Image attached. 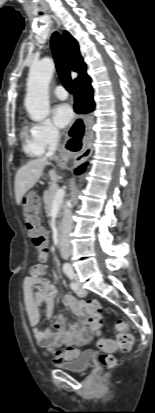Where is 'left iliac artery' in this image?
<instances>
[{
    "label": "left iliac artery",
    "mask_w": 155,
    "mask_h": 413,
    "mask_svg": "<svg viewBox=\"0 0 155 413\" xmlns=\"http://www.w3.org/2000/svg\"><path fill=\"white\" fill-rule=\"evenodd\" d=\"M66 275L69 277V279L71 280L70 282V287L72 290H76L77 289V283L75 282V274L72 270H69L66 272Z\"/></svg>",
    "instance_id": "obj_1"
}]
</instances>
